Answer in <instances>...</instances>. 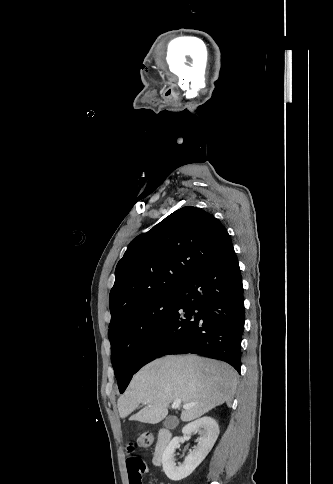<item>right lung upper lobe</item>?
Listing matches in <instances>:
<instances>
[{
	"mask_svg": "<svg viewBox=\"0 0 333 484\" xmlns=\"http://www.w3.org/2000/svg\"><path fill=\"white\" fill-rule=\"evenodd\" d=\"M232 245L226 228L210 213L183 207L137 236L115 270L111 323L128 310L180 291Z\"/></svg>",
	"mask_w": 333,
	"mask_h": 484,
	"instance_id": "1",
	"label": "right lung upper lobe"
}]
</instances>
